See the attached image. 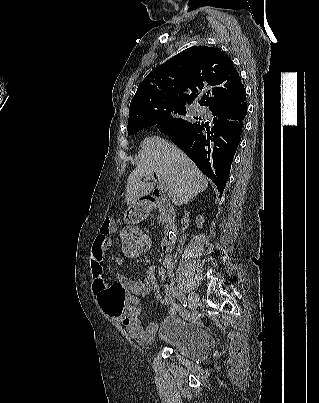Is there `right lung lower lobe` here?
<instances>
[{
  "instance_id": "98d812e1",
  "label": "right lung lower lobe",
  "mask_w": 319,
  "mask_h": 403,
  "mask_svg": "<svg viewBox=\"0 0 319 403\" xmlns=\"http://www.w3.org/2000/svg\"><path fill=\"white\" fill-rule=\"evenodd\" d=\"M244 98L210 108L214 126L197 121L192 126L168 133L169 138L193 160L222 194L240 143L247 105Z\"/></svg>"
}]
</instances>
